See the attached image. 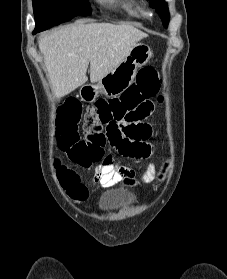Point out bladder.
Masks as SVG:
<instances>
[{"instance_id": "obj_1", "label": "bladder", "mask_w": 227, "mask_h": 279, "mask_svg": "<svg viewBox=\"0 0 227 279\" xmlns=\"http://www.w3.org/2000/svg\"><path fill=\"white\" fill-rule=\"evenodd\" d=\"M136 201L135 195L127 190L115 189L104 193L97 204L100 212L110 213L121 208L132 206Z\"/></svg>"}]
</instances>
